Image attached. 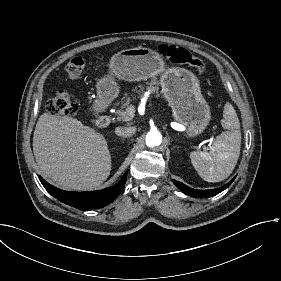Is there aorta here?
Wrapping results in <instances>:
<instances>
[{
    "label": "aorta",
    "mask_w": 281,
    "mask_h": 281,
    "mask_svg": "<svg viewBox=\"0 0 281 281\" xmlns=\"http://www.w3.org/2000/svg\"><path fill=\"white\" fill-rule=\"evenodd\" d=\"M162 143V136L157 130H150L146 135V145L148 147H156Z\"/></svg>",
    "instance_id": "aorta-1"
}]
</instances>
